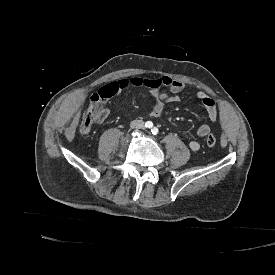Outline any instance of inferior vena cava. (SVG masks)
I'll list each match as a JSON object with an SVG mask.
<instances>
[{
	"instance_id": "1",
	"label": "inferior vena cava",
	"mask_w": 275,
	"mask_h": 275,
	"mask_svg": "<svg viewBox=\"0 0 275 275\" xmlns=\"http://www.w3.org/2000/svg\"><path fill=\"white\" fill-rule=\"evenodd\" d=\"M130 127L133 129H140L144 127V122L142 120H132L130 122Z\"/></svg>"
}]
</instances>
